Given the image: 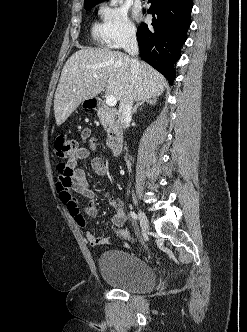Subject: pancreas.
I'll list each match as a JSON object with an SVG mask.
<instances>
[{
    "mask_svg": "<svg viewBox=\"0 0 247 332\" xmlns=\"http://www.w3.org/2000/svg\"><path fill=\"white\" fill-rule=\"evenodd\" d=\"M98 117L100 119L101 124L104 126L105 130L108 133H111L113 129V122L109 115L105 111H98Z\"/></svg>",
    "mask_w": 247,
    "mask_h": 332,
    "instance_id": "cf45deb5",
    "label": "pancreas"
}]
</instances>
